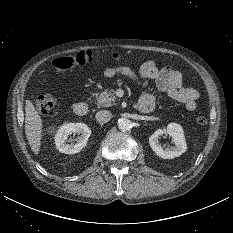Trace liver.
I'll list each match as a JSON object with an SVG mask.
<instances>
[{"label": "liver", "mask_w": 233, "mask_h": 233, "mask_svg": "<svg viewBox=\"0 0 233 233\" xmlns=\"http://www.w3.org/2000/svg\"><path fill=\"white\" fill-rule=\"evenodd\" d=\"M25 134L31 150L38 154L41 146L42 120L30 100H26L25 103Z\"/></svg>", "instance_id": "obj_1"}]
</instances>
